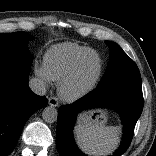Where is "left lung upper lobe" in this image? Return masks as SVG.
I'll use <instances>...</instances> for the list:
<instances>
[{"mask_svg": "<svg viewBox=\"0 0 156 156\" xmlns=\"http://www.w3.org/2000/svg\"><path fill=\"white\" fill-rule=\"evenodd\" d=\"M110 48L108 67L97 87L113 83L141 85V76L134 61L114 42L105 41Z\"/></svg>", "mask_w": 156, "mask_h": 156, "instance_id": "5c2ea615", "label": "left lung upper lobe"}]
</instances>
